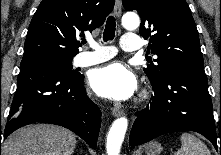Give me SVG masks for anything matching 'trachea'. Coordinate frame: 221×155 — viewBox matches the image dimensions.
<instances>
[{
	"instance_id": "trachea-1",
	"label": "trachea",
	"mask_w": 221,
	"mask_h": 155,
	"mask_svg": "<svg viewBox=\"0 0 221 155\" xmlns=\"http://www.w3.org/2000/svg\"><path fill=\"white\" fill-rule=\"evenodd\" d=\"M115 30H116V22H115V18L113 16L108 17L107 21H106V25H105V29H104V35H103V40L109 41V40H113V38L115 37ZM86 41H83V44H85Z\"/></svg>"
}]
</instances>
